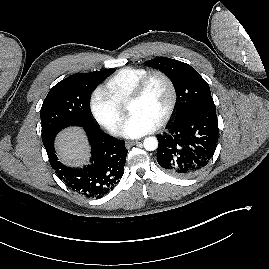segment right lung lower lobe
<instances>
[{
	"mask_svg": "<svg viewBox=\"0 0 269 269\" xmlns=\"http://www.w3.org/2000/svg\"><path fill=\"white\" fill-rule=\"evenodd\" d=\"M91 145V164L83 168H69L57 158L54 138L45 146L49 162L58 177L72 190L86 197L101 198L111 191L124 173L125 142L97 128H84Z\"/></svg>",
	"mask_w": 269,
	"mask_h": 269,
	"instance_id": "obj_1",
	"label": "right lung lower lobe"
}]
</instances>
